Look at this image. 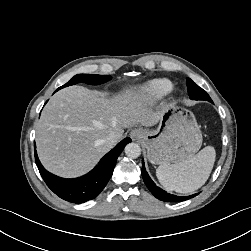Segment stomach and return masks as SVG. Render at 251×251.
<instances>
[{"mask_svg": "<svg viewBox=\"0 0 251 251\" xmlns=\"http://www.w3.org/2000/svg\"><path fill=\"white\" fill-rule=\"evenodd\" d=\"M141 140L152 164H172L194 156L202 145V134L192 113L170 104L158 127L143 130Z\"/></svg>", "mask_w": 251, "mask_h": 251, "instance_id": "0dacf381", "label": "stomach"}]
</instances>
